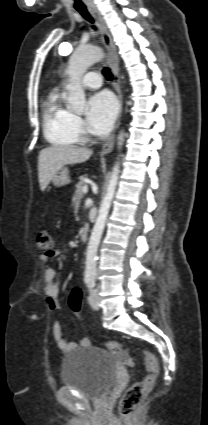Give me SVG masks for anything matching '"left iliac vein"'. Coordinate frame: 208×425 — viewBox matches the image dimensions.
I'll return each instance as SVG.
<instances>
[{
  "mask_svg": "<svg viewBox=\"0 0 208 425\" xmlns=\"http://www.w3.org/2000/svg\"><path fill=\"white\" fill-rule=\"evenodd\" d=\"M89 304L94 310H98L99 306V297L96 290H93L89 296Z\"/></svg>",
  "mask_w": 208,
  "mask_h": 425,
  "instance_id": "left-iliac-vein-1",
  "label": "left iliac vein"
}]
</instances>
